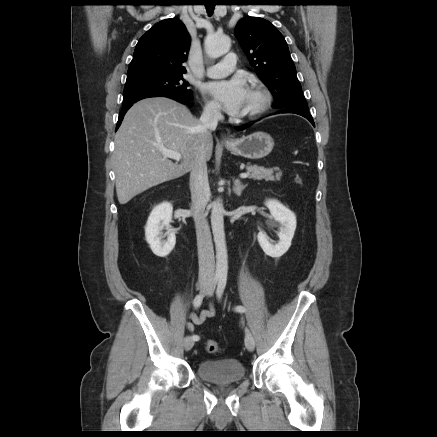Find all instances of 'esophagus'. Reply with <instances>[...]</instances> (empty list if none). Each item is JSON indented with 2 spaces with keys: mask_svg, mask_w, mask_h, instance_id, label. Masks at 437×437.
Masks as SVG:
<instances>
[{
  "mask_svg": "<svg viewBox=\"0 0 437 437\" xmlns=\"http://www.w3.org/2000/svg\"><path fill=\"white\" fill-rule=\"evenodd\" d=\"M232 138L231 137H224V142L225 143H231L232 142Z\"/></svg>",
  "mask_w": 437,
  "mask_h": 437,
  "instance_id": "1",
  "label": "esophagus"
}]
</instances>
